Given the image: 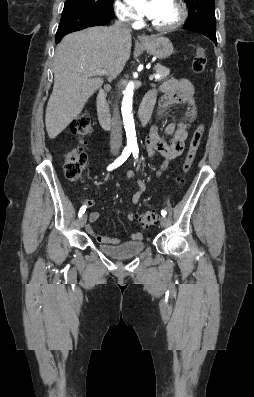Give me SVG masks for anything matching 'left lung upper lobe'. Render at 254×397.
<instances>
[{
    "label": "left lung upper lobe",
    "instance_id": "5c2ea615",
    "mask_svg": "<svg viewBox=\"0 0 254 397\" xmlns=\"http://www.w3.org/2000/svg\"><path fill=\"white\" fill-rule=\"evenodd\" d=\"M189 8V14L194 20L211 16L215 17L214 0H184Z\"/></svg>",
    "mask_w": 254,
    "mask_h": 397
}]
</instances>
